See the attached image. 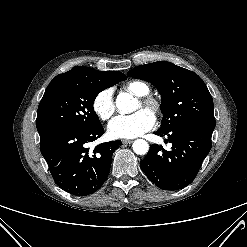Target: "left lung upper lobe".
<instances>
[{"mask_svg": "<svg viewBox=\"0 0 247 247\" xmlns=\"http://www.w3.org/2000/svg\"><path fill=\"white\" fill-rule=\"evenodd\" d=\"M129 77L151 82L161 94L162 125L159 130L194 125L215 128L213 100L203 80L194 72L166 61L136 67Z\"/></svg>", "mask_w": 247, "mask_h": 247, "instance_id": "left-lung-upper-lobe-1", "label": "left lung upper lobe"}]
</instances>
